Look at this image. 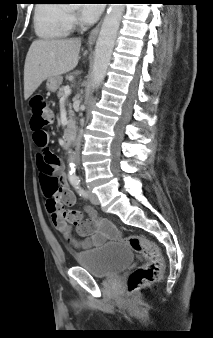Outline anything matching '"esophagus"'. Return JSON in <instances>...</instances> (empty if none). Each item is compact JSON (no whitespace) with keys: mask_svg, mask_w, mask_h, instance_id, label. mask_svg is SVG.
I'll return each instance as SVG.
<instances>
[{"mask_svg":"<svg viewBox=\"0 0 213 338\" xmlns=\"http://www.w3.org/2000/svg\"><path fill=\"white\" fill-rule=\"evenodd\" d=\"M102 20L96 25V27L90 32L88 37V44L91 46L96 42Z\"/></svg>","mask_w":213,"mask_h":338,"instance_id":"esophagus-1","label":"esophagus"}]
</instances>
